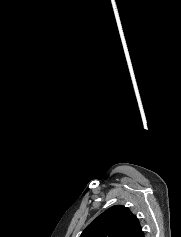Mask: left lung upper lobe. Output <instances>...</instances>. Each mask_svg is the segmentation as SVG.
Masks as SVG:
<instances>
[{"label": "left lung upper lobe", "instance_id": "5c2ea615", "mask_svg": "<svg viewBox=\"0 0 181 237\" xmlns=\"http://www.w3.org/2000/svg\"><path fill=\"white\" fill-rule=\"evenodd\" d=\"M138 218L126 207L115 205L94 219L80 237H143Z\"/></svg>", "mask_w": 181, "mask_h": 237}]
</instances>
